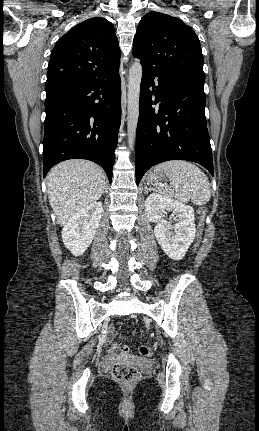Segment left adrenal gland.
I'll return each instance as SVG.
<instances>
[{"label":"left adrenal gland","mask_w":259,"mask_h":431,"mask_svg":"<svg viewBox=\"0 0 259 431\" xmlns=\"http://www.w3.org/2000/svg\"><path fill=\"white\" fill-rule=\"evenodd\" d=\"M148 190H150V189L148 188V186H147V185H144V192H145V194H147Z\"/></svg>","instance_id":"a2214340"}]
</instances>
